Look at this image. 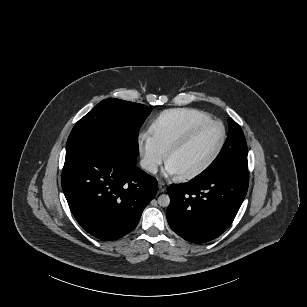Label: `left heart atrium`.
I'll use <instances>...</instances> for the list:
<instances>
[{
  "label": "left heart atrium",
  "instance_id": "left-heart-atrium-1",
  "mask_svg": "<svg viewBox=\"0 0 307 307\" xmlns=\"http://www.w3.org/2000/svg\"><path fill=\"white\" fill-rule=\"evenodd\" d=\"M166 174L177 175L175 169L170 164H168V166L166 167Z\"/></svg>",
  "mask_w": 307,
  "mask_h": 307
}]
</instances>
